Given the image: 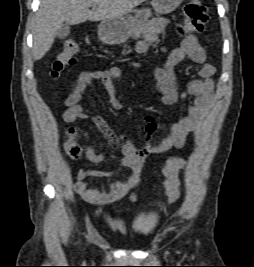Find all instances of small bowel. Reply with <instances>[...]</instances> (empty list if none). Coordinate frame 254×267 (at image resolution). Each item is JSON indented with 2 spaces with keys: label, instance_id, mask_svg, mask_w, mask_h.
Returning a JSON list of instances; mask_svg holds the SVG:
<instances>
[{
  "label": "small bowel",
  "instance_id": "1",
  "mask_svg": "<svg viewBox=\"0 0 254 267\" xmlns=\"http://www.w3.org/2000/svg\"><path fill=\"white\" fill-rule=\"evenodd\" d=\"M168 25V19L164 17L154 18L146 29L143 39L138 42L137 50L140 52L146 51L149 44L154 42ZM185 59H189L199 66V78L189 80L185 89L180 92L174 68ZM214 73L215 67L206 62L205 51L197 38L194 36L184 38L181 45L169 55L165 64L155 69L154 75L158 88L162 93V102L165 105L176 104L180 99L193 98L191 104L183 105L186 113L172 124L169 134L159 142L152 140V134L157 128L154 117L145 116L140 119V123L144 124L145 130L142 148H137L129 138L123 137L120 140L122 159L118 167L114 170H79L76 172L74 189L81 199L91 204H109L121 200L139 183L141 170L150 154H161L173 148H182L186 144L188 136L201 124L211 103L214 89L212 76ZM120 75L121 71L117 67H112L104 71L82 73L65 100L66 110L63 113L64 121L72 124L79 119L87 118L80 102L86 92L87 86L94 81H100L103 84L108 95L110 107L113 110H121L123 103L118 96L114 84V81ZM92 121L107 136H112L111 130L101 117L95 115L92 117ZM89 159L93 163H100L104 160V156L92 151ZM125 169L130 170L129 175L117 182L110 190L91 189L84 182L88 177H109ZM130 200H136L135 193L131 194Z\"/></svg>",
  "mask_w": 254,
  "mask_h": 267
}]
</instances>
